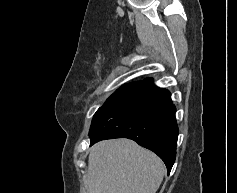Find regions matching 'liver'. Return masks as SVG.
Returning a JSON list of instances; mask_svg holds the SVG:
<instances>
[{
	"mask_svg": "<svg viewBox=\"0 0 237 193\" xmlns=\"http://www.w3.org/2000/svg\"><path fill=\"white\" fill-rule=\"evenodd\" d=\"M165 170L156 154L132 140L101 141L90 149L87 193H156Z\"/></svg>",
	"mask_w": 237,
	"mask_h": 193,
	"instance_id": "obj_1",
	"label": "liver"
}]
</instances>
